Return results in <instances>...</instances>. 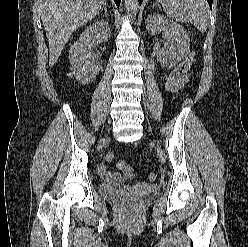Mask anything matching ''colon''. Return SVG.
Here are the masks:
<instances>
[{"label": "colon", "instance_id": "1", "mask_svg": "<svg viewBox=\"0 0 248 247\" xmlns=\"http://www.w3.org/2000/svg\"><path fill=\"white\" fill-rule=\"evenodd\" d=\"M194 59V53L192 52L183 62H181L174 70L169 74L165 88L170 93H176L180 90L185 74L191 67ZM114 159V154L109 153L106 155V161L111 162ZM117 167L123 171L127 177H133L134 172L131 167L124 160H119L117 162ZM156 179V174L151 173L149 175V180L153 181Z\"/></svg>", "mask_w": 248, "mask_h": 247}]
</instances>
